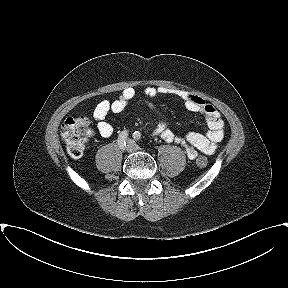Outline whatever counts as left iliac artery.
<instances>
[{
    "label": "left iliac artery",
    "instance_id": "obj_1",
    "mask_svg": "<svg viewBox=\"0 0 288 288\" xmlns=\"http://www.w3.org/2000/svg\"><path fill=\"white\" fill-rule=\"evenodd\" d=\"M133 138L137 141H141V133L138 131H135L133 134Z\"/></svg>",
    "mask_w": 288,
    "mask_h": 288
}]
</instances>
